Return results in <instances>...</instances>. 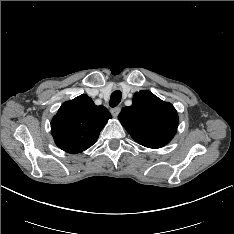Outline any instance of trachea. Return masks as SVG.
<instances>
[{
    "label": "trachea",
    "instance_id": "1",
    "mask_svg": "<svg viewBox=\"0 0 234 234\" xmlns=\"http://www.w3.org/2000/svg\"><path fill=\"white\" fill-rule=\"evenodd\" d=\"M121 97H122L121 91L115 90L111 94V97H110V101H109L110 107H116V106H118V104L121 101Z\"/></svg>",
    "mask_w": 234,
    "mask_h": 234
}]
</instances>
